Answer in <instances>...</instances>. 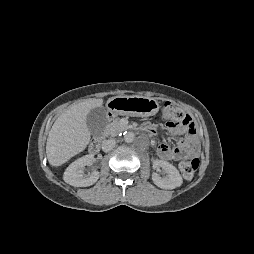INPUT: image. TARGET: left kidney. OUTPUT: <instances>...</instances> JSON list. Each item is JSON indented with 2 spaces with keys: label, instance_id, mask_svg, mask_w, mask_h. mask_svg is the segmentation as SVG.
I'll return each mask as SVG.
<instances>
[{
  "label": "left kidney",
  "instance_id": "left-kidney-1",
  "mask_svg": "<svg viewBox=\"0 0 254 254\" xmlns=\"http://www.w3.org/2000/svg\"><path fill=\"white\" fill-rule=\"evenodd\" d=\"M160 167L164 169L167 176L165 178H162L159 176L158 173L154 172L152 174V180L156 186L163 189H174L182 185V177L175 166H173L167 161L154 160L153 168L159 169Z\"/></svg>",
  "mask_w": 254,
  "mask_h": 254
}]
</instances>
